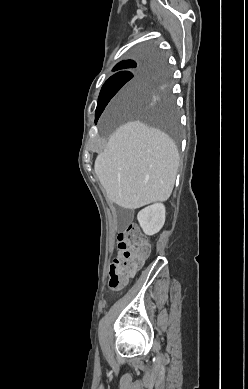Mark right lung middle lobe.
<instances>
[{
  "label": "right lung middle lobe",
  "mask_w": 248,
  "mask_h": 389,
  "mask_svg": "<svg viewBox=\"0 0 248 389\" xmlns=\"http://www.w3.org/2000/svg\"><path fill=\"white\" fill-rule=\"evenodd\" d=\"M149 54V53H148ZM154 64L152 67L151 65ZM103 85L95 112V123L112 97L126 84L148 85L143 101L127 106L130 117L164 131L174 142L180 141L178 115L170 93L171 74L160 55L155 59L144 56L134 64L124 67ZM119 70V69H118Z\"/></svg>",
  "instance_id": "right-lung-middle-lobe-1"
}]
</instances>
